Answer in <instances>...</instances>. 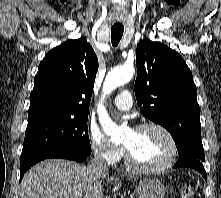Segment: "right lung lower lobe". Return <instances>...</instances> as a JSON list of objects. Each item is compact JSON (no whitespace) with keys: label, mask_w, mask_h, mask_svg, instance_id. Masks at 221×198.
I'll use <instances>...</instances> for the list:
<instances>
[{"label":"right lung lower lobe","mask_w":221,"mask_h":198,"mask_svg":"<svg viewBox=\"0 0 221 198\" xmlns=\"http://www.w3.org/2000/svg\"><path fill=\"white\" fill-rule=\"evenodd\" d=\"M88 157L87 154L80 153L75 150L64 149V148H56V149H49L46 151H42L31 158L25 160L24 162L20 163V180L23 177V174L34 164L38 163L47 158H63V159H70L77 162H82Z\"/></svg>","instance_id":"1"}]
</instances>
